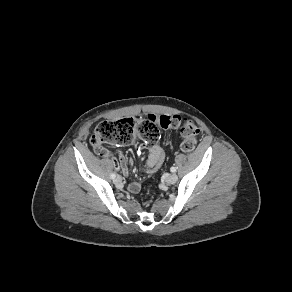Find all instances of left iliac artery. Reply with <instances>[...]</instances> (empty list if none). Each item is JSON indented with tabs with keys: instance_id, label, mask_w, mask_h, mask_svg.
I'll return each instance as SVG.
<instances>
[{
	"instance_id": "44dca946",
	"label": "left iliac artery",
	"mask_w": 292,
	"mask_h": 292,
	"mask_svg": "<svg viewBox=\"0 0 292 292\" xmlns=\"http://www.w3.org/2000/svg\"><path fill=\"white\" fill-rule=\"evenodd\" d=\"M170 171L174 173V172H176V168L175 167H171Z\"/></svg>"
}]
</instances>
